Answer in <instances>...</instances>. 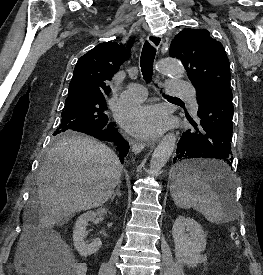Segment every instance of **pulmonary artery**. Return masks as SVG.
Listing matches in <instances>:
<instances>
[{
    "instance_id": "e3ab8cb5",
    "label": "pulmonary artery",
    "mask_w": 263,
    "mask_h": 275,
    "mask_svg": "<svg viewBox=\"0 0 263 275\" xmlns=\"http://www.w3.org/2000/svg\"><path fill=\"white\" fill-rule=\"evenodd\" d=\"M166 86L170 95L184 97L189 102L192 111L197 112L196 91L191 84L180 80H169ZM146 95V89L142 85L131 83L121 94L120 101L126 105L138 104L146 98Z\"/></svg>"
}]
</instances>
